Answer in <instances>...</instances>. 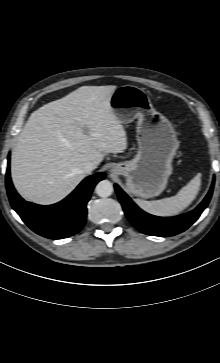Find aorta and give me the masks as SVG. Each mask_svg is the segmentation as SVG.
I'll list each match as a JSON object with an SVG mask.
<instances>
[{"label":"aorta","instance_id":"obj_1","mask_svg":"<svg viewBox=\"0 0 220 363\" xmlns=\"http://www.w3.org/2000/svg\"><path fill=\"white\" fill-rule=\"evenodd\" d=\"M95 191L98 196L106 198L113 193V185L108 180H102L96 185Z\"/></svg>","mask_w":220,"mask_h":363}]
</instances>
